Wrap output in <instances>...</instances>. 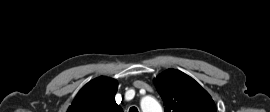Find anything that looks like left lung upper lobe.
Returning <instances> with one entry per match:
<instances>
[{
  "label": "left lung upper lobe",
  "mask_w": 270,
  "mask_h": 112,
  "mask_svg": "<svg viewBox=\"0 0 270 112\" xmlns=\"http://www.w3.org/2000/svg\"><path fill=\"white\" fill-rule=\"evenodd\" d=\"M165 112H216L211 96L193 78L168 69L155 79Z\"/></svg>",
  "instance_id": "5c2ea615"
}]
</instances>
